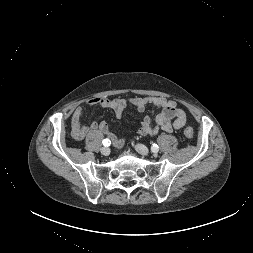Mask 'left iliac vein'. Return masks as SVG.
<instances>
[{"mask_svg":"<svg viewBox=\"0 0 253 253\" xmlns=\"http://www.w3.org/2000/svg\"><path fill=\"white\" fill-rule=\"evenodd\" d=\"M135 149L141 155H144V156H148L149 155V149L145 145H143V144H136L135 145Z\"/></svg>","mask_w":253,"mask_h":253,"instance_id":"1","label":"left iliac vein"}]
</instances>
